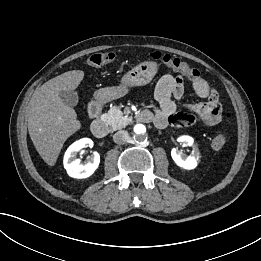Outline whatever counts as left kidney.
I'll use <instances>...</instances> for the list:
<instances>
[{"label":"left kidney","mask_w":261,"mask_h":261,"mask_svg":"<svg viewBox=\"0 0 261 261\" xmlns=\"http://www.w3.org/2000/svg\"><path fill=\"white\" fill-rule=\"evenodd\" d=\"M178 141L183 142L188 146H192L193 151L189 156H185L181 151L173 148L171 156L174 162L181 168L191 170L196 168L198 160L200 158V152L197 146L194 144V140L190 136H181Z\"/></svg>","instance_id":"left-kidney-1"}]
</instances>
